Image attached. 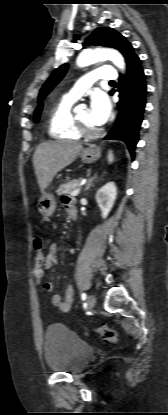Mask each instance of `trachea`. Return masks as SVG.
I'll return each mask as SVG.
<instances>
[{
	"label": "trachea",
	"instance_id": "3493384b",
	"mask_svg": "<svg viewBox=\"0 0 168 415\" xmlns=\"http://www.w3.org/2000/svg\"><path fill=\"white\" fill-rule=\"evenodd\" d=\"M110 83H115L114 81H111Z\"/></svg>",
	"mask_w": 168,
	"mask_h": 415
}]
</instances>
